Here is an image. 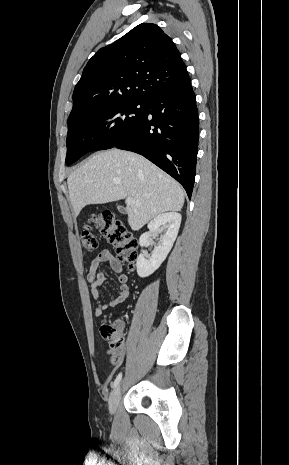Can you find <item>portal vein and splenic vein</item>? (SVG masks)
<instances>
[{
	"label": "portal vein and splenic vein",
	"mask_w": 289,
	"mask_h": 465,
	"mask_svg": "<svg viewBox=\"0 0 289 465\" xmlns=\"http://www.w3.org/2000/svg\"><path fill=\"white\" fill-rule=\"evenodd\" d=\"M135 203V200L131 197H128L126 199V204L129 206V205H133Z\"/></svg>",
	"instance_id": "1"
}]
</instances>
